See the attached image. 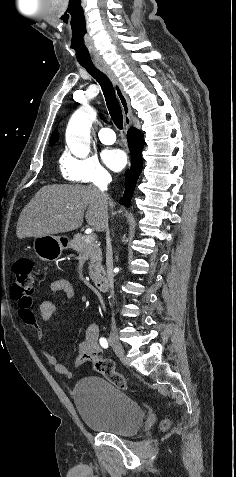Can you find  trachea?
Returning a JSON list of instances; mask_svg holds the SVG:
<instances>
[{
    "label": "trachea",
    "mask_w": 236,
    "mask_h": 477,
    "mask_svg": "<svg viewBox=\"0 0 236 477\" xmlns=\"http://www.w3.org/2000/svg\"><path fill=\"white\" fill-rule=\"evenodd\" d=\"M80 65L85 68L87 72L100 84L111 119L113 120L116 127L122 130L123 114L118 99L116 97L112 82L107 77V75L97 69L93 63H80Z\"/></svg>",
    "instance_id": "trachea-1"
}]
</instances>
